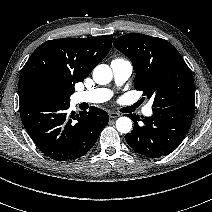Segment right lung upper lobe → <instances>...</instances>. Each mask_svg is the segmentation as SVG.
<instances>
[{"mask_svg":"<svg viewBox=\"0 0 212 212\" xmlns=\"http://www.w3.org/2000/svg\"><path fill=\"white\" fill-rule=\"evenodd\" d=\"M113 37L62 38L42 43L22 68L18 92L20 105L31 102L39 88L69 98L112 47Z\"/></svg>","mask_w":212,"mask_h":212,"instance_id":"1","label":"right lung upper lobe"}]
</instances>
